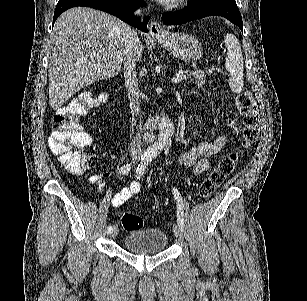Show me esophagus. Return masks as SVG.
I'll return each instance as SVG.
<instances>
[{
  "instance_id": "obj_1",
  "label": "esophagus",
  "mask_w": 307,
  "mask_h": 301,
  "mask_svg": "<svg viewBox=\"0 0 307 301\" xmlns=\"http://www.w3.org/2000/svg\"><path fill=\"white\" fill-rule=\"evenodd\" d=\"M165 33L164 28L158 22H151L149 26V34L154 40L161 39Z\"/></svg>"
}]
</instances>
